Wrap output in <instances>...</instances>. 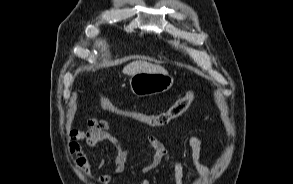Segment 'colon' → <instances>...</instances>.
Returning <instances> with one entry per match:
<instances>
[{"mask_svg": "<svg viewBox=\"0 0 293 184\" xmlns=\"http://www.w3.org/2000/svg\"><path fill=\"white\" fill-rule=\"evenodd\" d=\"M195 98V91H188L183 97L176 100L168 109L157 113L148 114L137 111H123L113 106L102 94L98 93V99L102 108L120 117L141 122L152 127L167 125L170 121L181 116L191 106Z\"/></svg>", "mask_w": 293, "mask_h": 184, "instance_id": "colon-1", "label": "colon"}]
</instances>
